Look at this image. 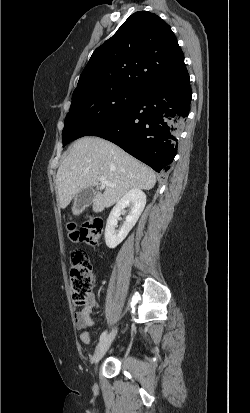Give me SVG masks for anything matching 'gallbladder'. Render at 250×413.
Here are the masks:
<instances>
[{"instance_id":"bac80fb5","label":"gallbladder","mask_w":250,"mask_h":413,"mask_svg":"<svg viewBox=\"0 0 250 413\" xmlns=\"http://www.w3.org/2000/svg\"><path fill=\"white\" fill-rule=\"evenodd\" d=\"M95 196L94 190L89 187L75 195L72 211L74 214H80L86 207H88Z\"/></svg>"}]
</instances>
